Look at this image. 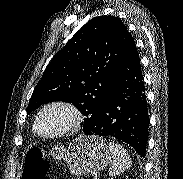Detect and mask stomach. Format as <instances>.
Returning <instances> with one entry per match:
<instances>
[{
    "instance_id": "1",
    "label": "stomach",
    "mask_w": 183,
    "mask_h": 179,
    "mask_svg": "<svg viewBox=\"0 0 183 179\" xmlns=\"http://www.w3.org/2000/svg\"><path fill=\"white\" fill-rule=\"evenodd\" d=\"M50 155L64 160L76 176L103 170L112 158L105 140L97 135L80 136L68 148L58 144L51 149Z\"/></svg>"
}]
</instances>
